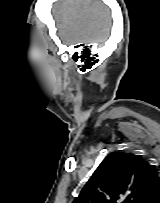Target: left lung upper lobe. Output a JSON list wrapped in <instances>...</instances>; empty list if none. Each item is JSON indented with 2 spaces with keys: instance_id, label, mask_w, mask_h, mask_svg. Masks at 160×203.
Listing matches in <instances>:
<instances>
[{
  "instance_id": "5c2ea615",
  "label": "left lung upper lobe",
  "mask_w": 160,
  "mask_h": 203,
  "mask_svg": "<svg viewBox=\"0 0 160 203\" xmlns=\"http://www.w3.org/2000/svg\"><path fill=\"white\" fill-rule=\"evenodd\" d=\"M160 190L158 172L138 155L109 154L72 203H151Z\"/></svg>"
}]
</instances>
